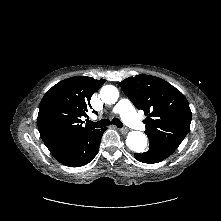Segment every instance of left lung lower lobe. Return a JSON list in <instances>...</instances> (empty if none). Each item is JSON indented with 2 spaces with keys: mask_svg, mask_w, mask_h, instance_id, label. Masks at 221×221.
Segmentation results:
<instances>
[{
  "mask_svg": "<svg viewBox=\"0 0 221 221\" xmlns=\"http://www.w3.org/2000/svg\"><path fill=\"white\" fill-rule=\"evenodd\" d=\"M175 149L176 148L154 140L150 142L149 150L147 152L135 153L134 156L136 160L140 162L153 164L169 157L175 151Z\"/></svg>",
  "mask_w": 221,
  "mask_h": 221,
  "instance_id": "left-lung-lower-lobe-1",
  "label": "left lung lower lobe"
}]
</instances>
